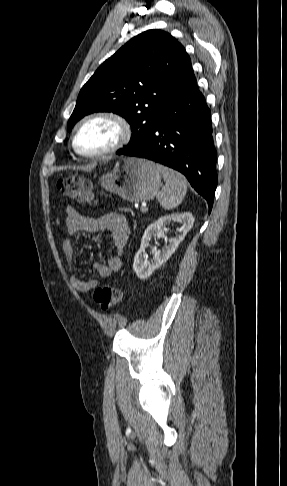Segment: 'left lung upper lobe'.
Returning <instances> with one entry per match:
<instances>
[{
  "label": "left lung upper lobe",
  "instance_id": "5c2ea615",
  "mask_svg": "<svg viewBox=\"0 0 287 486\" xmlns=\"http://www.w3.org/2000/svg\"><path fill=\"white\" fill-rule=\"evenodd\" d=\"M193 76L190 57L175 38L161 30L145 31L107 59L83 86L68 130L92 112H114L132 128L129 144L116 153L134 148Z\"/></svg>",
  "mask_w": 287,
  "mask_h": 486
}]
</instances>
